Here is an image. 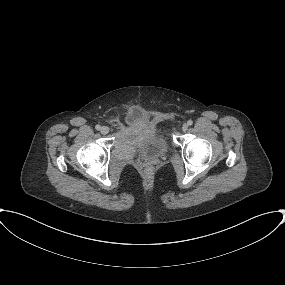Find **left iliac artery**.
I'll use <instances>...</instances> for the list:
<instances>
[{"instance_id": "left-iliac-artery-1", "label": "left iliac artery", "mask_w": 285, "mask_h": 285, "mask_svg": "<svg viewBox=\"0 0 285 285\" xmlns=\"http://www.w3.org/2000/svg\"><path fill=\"white\" fill-rule=\"evenodd\" d=\"M187 123H188V125H192V124H193V121H192V120H189Z\"/></svg>"}]
</instances>
